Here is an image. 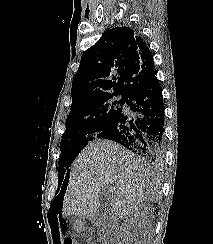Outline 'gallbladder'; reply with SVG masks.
Here are the masks:
<instances>
[{"mask_svg": "<svg viewBox=\"0 0 213 244\" xmlns=\"http://www.w3.org/2000/svg\"><path fill=\"white\" fill-rule=\"evenodd\" d=\"M90 221L94 227L101 228L109 226L112 223V218L108 209L102 207L96 212Z\"/></svg>", "mask_w": 213, "mask_h": 244, "instance_id": "1", "label": "gallbladder"}]
</instances>
